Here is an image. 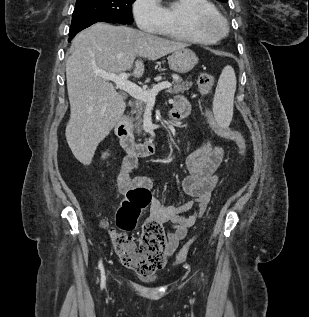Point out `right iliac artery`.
Listing matches in <instances>:
<instances>
[{"instance_id":"right-iliac-artery-1","label":"right iliac artery","mask_w":309,"mask_h":317,"mask_svg":"<svg viewBox=\"0 0 309 317\" xmlns=\"http://www.w3.org/2000/svg\"><path fill=\"white\" fill-rule=\"evenodd\" d=\"M98 268H99V270L101 271V274H102V280L104 281V268H103L102 261H99Z\"/></svg>"}]
</instances>
